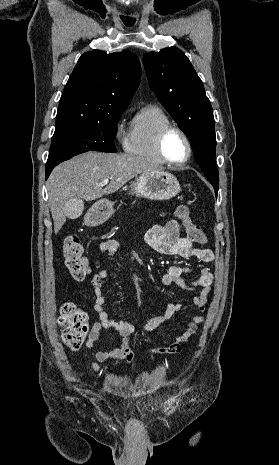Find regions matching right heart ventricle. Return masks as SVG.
Segmentation results:
<instances>
[{"label": "right heart ventricle", "instance_id": "obj_1", "mask_svg": "<svg viewBox=\"0 0 279 465\" xmlns=\"http://www.w3.org/2000/svg\"><path fill=\"white\" fill-rule=\"evenodd\" d=\"M171 124L166 112L159 106L149 105L140 109L130 123L124 140L127 153L158 164L165 163L156 148L159 132Z\"/></svg>", "mask_w": 279, "mask_h": 465}]
</instances>
